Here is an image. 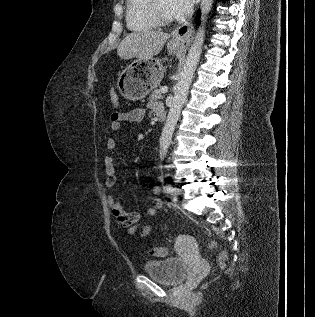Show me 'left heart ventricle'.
I'll use <instances>...</instances> for the list:
<instances>
[{
    "mask_svg": "<svg viewBox=\"0 0 315 317\" xmlns=\"http://www.w3.org/2000/svg\"><path fill=\"white\" fill-rule=\"evenodd\" d=\"M155 5L164 17L171 18V16L169 15V13L167 11V7H166L167 0H155Z\"/></svg>",
    "mask_w": 315,
    "mask_h": 317,
    "instance_id": "1",
    "label": "left heart ventricle"
}]
</instances>
